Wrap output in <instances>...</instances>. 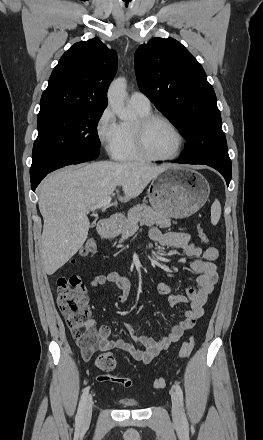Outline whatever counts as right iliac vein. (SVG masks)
Listing matches in <instances>:
<instances>
[{"label":"right iliac vein","instance_id":"1","mask_svg":"<svg viewBox=\"0 0 263 440\" xmlns=\"http://www.w3.org/2000/svg\"><path fill=\"white\" fill-rule=\"evenodd\" d=\"M92 406H93L92 399L89 398L87 400V402L85 403L84 410H83V415H82V420H81L82 427H87L91 421Z\"/></svg>","mask_w":263,"mask_h":440}]
</instances>
